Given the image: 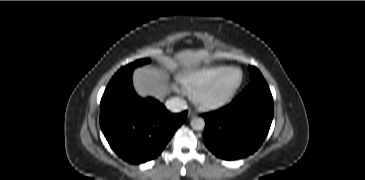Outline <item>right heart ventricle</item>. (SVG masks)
<instances>
[{
  "label": "right heart ventricle",
  "instance_id": "1",
  "mask_svg": "<svg viewBox=\"0 0 365 180\" xmlns=\"http://www.w3.org/2000/svg\"><path fill=\"white\" fill-rule=\"evenodd\" d=\"M225 65H213L202 67L187 73L182 74L179 80L184 90L190 94L194 93L199 87L207 83L219 72L225 69Z\"/></svg>",
  "mask_w": 365,
  "mask_h": 180
}]
</instances>
